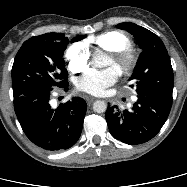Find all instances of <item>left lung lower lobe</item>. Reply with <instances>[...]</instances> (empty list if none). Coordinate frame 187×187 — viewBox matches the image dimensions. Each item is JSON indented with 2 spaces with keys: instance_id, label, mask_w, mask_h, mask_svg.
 <instances>
[{
  "instance_id": "left-lung-lower-lobe-1",
  "label": "left lung lower lobe",
  "mask_w": 187,
  "mask_h": 187,
  "mask_svg": "<svg viewBox=\"0 0 187 187\" xmlns=\"http://www.w3.org/2000/svg\"><path fill=\"white\" fill-rule=\"evenodd\" d=\"M172 101L153 96H138L133 108L122 113L108 107L106 121L111 135L126 144L137 145L152 139L168 118Z\"/></svg>"
}]
</instances>
